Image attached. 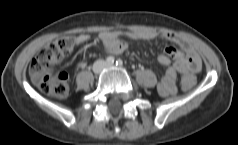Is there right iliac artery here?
Segmentation results:
<instances>
[{
    "mask_svg": "<svg viewBox=\"0 0 238 145\" xmlns=\"http://www.w3.org/2000/svg\"><path fill=\"white\" fill-rule=\"evenodd\" d=\"M114 61H115V58H114L113 56H108V57L106 58V62H107L108 64H113Z\"/></svg>",
    "mask_w": 238,
    "mask_h": 145,
    "instance_id": "right-iliac-artery-1",
    "label": "right iliac artery"
}]
</instances>
